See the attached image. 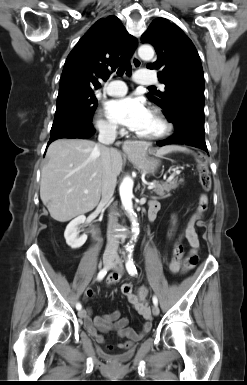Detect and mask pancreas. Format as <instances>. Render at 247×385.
I'll list each match as a JSON object with an SVG mask.
<instances>
[{
  "label": "pancreas",
  "instance_id": "cf45deb5",
  "mask_svg": "<svg viewBox=\"0 0 247 385\" xmlns=\"http://www.w3.org/2000/svg\"><path fill=\"white\" fill-rule=\"evenodd\" d=\"M183 181H184L183 179L178 180V178H175V179L171 180L170 182H165V183H161V184L159 182H155V185H154L152 192H154L158 196L164 198L166 196H169L170 191L176 189L178 187L179 183H182Z\"/></svg>",
  "mask_w": 247,
  "mask_h": 385
}]
</instances>
